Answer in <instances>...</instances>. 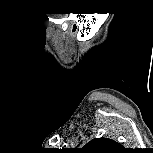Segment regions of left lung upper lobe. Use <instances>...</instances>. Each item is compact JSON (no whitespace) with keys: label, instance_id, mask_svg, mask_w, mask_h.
I'll use <instances>...</instances> for the list:
<instances>
[{"label":"left lung upper lobe","instance_id":"1","mask_svg":"<svg viewBox=\"0 0 153 153\" xmlns=\"http://www.w3.org/2000/svg\"><path fill=\"white\" fill-rule=\"evenodd\" d=\"M120 147V144L113 140L98 138L91 140L83 147V149L88 153H108L110 151L118 150Z\"/></svg>","mask_w":153,"mask_h":153}]
</instances>
